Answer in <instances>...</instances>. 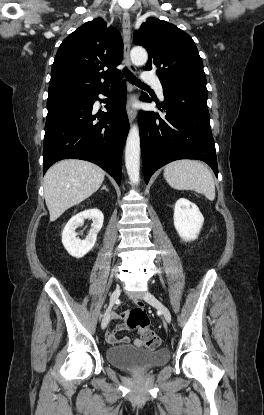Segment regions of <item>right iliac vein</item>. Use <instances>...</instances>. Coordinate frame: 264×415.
<instances>
[{
    "mask_svg": "<svg viewBox=\"0 0 264 415\" xmlns=\"http://www.w3.org/2000/svg\"><path fill=\"white\" fill-rule=\"evenodd\" d=\"M120 294H121V288L120 287H117L113 291V293L111 294V297H110V305L111 306L118 300ZM110 312H111V307H109V309L107 310V312L105 313V315H104V317L102 319V322H101V328L102 329H105L107 327L108 323H109V320H110Z\"/></svg>",
    "mask_w": 264,
    "mask_h": 415,
    "instance_id": "obj_1",
    "label": "right iliac vein"
}]
</instances>
